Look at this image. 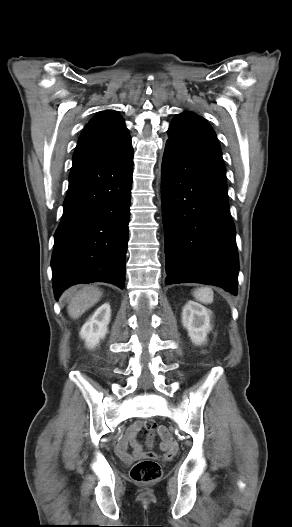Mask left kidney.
Segmentation results:
<instances>
[{
  "mask_svg": "<svg viewBox=\"0 0 292 527\" xmlns=\"http://www.w3.org/2000/svg\"><path fill=\"white\" fill-rule=\"evenodd\" d=\"M210 316L211 312L196 302L189 301L184 306L182 324L195 345H202L206 342L207 333L211 330Z\"/></svg>",
  "mask_w": 292,
  "mask_h": 527,
  "instance_id": "5707ae66",
  "label": "left kidney"
}]
</instances>
